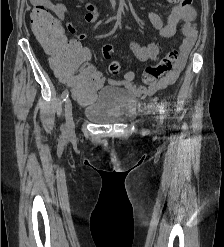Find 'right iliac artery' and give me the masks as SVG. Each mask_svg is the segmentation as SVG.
<instances>
[{
  "instance_id": "82829eb1",
  "label": "right iliac artery",
  "mask_w": 224,
  "mask_h": 247,
  "mask_svg": "<svg viewBox=\"0 0 224 247\" xmlns=\"http://www.w3.org/2000/svg\"><path fill=\"white\" fill-rule=\"evenodd\" d=\"M68 95H69V92H68L67 89L64 90V91L62 92V94H61L62 102H65V101L67 100ZM61 130H62V132L64 133V126H63V125H62V127H61Z\"/></svg>"
}]
</instances>
